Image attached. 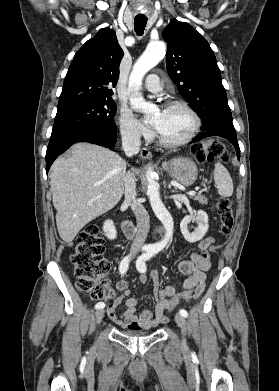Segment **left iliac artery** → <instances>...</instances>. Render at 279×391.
I'll return each instance as SVG.
<instances>
[{
	"mask_svg": "<svg viewBox=\"0 0 279 391\" xmlns=\"http://www.w3.org/2000/svg\"><path fill=\"white\" fill-rule=\"evenodd\" d=\"M155 254V251L153 249H147L146 252L144 254H142L136 261V267H137V270L140 272V273H145L146 272V261L149 260L153 255ZM180 315H182L183 317H187L188 316V313L186 310L184 309H180L179 311Z\"/></svg>",
	"mask_w": 279,
	"mask_h": 391,
	"instance_id": "obj_1",
	"label": "left iliac artery"
}]
</instances>
